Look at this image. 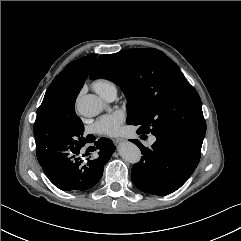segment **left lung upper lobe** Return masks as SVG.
I'll return each mask as SVG.
<instances>
[{"label": "left lung upper lobe", "instance_id": "obj_1", "mask_svg": "<svg viewBox=\"0 0 241 241\" xmlns=\"http://www.w3.org/2000/svg\"><path fill=\"white\" fill-rule=\"evenodd\" d=\"M90 78L108 79L127 97V124L137 133L174 131L204 139L201 100L179 67L154 48L131 49L97 58Z\"/></svg>", "mask_w": 241, "mask_h": 241}]
</instances>
